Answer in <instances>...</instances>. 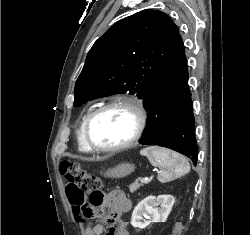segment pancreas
I'll list each match as a JSON object with an SVG mask.
<instances>
[{
	"instance_id": "cf45deb5",
	"label": "pancreas",
	"mask_w": 250,
	"mask_h": 235,
	"mask_svg": "<svg viewBox=\"0 0 250 235\" xmlns=\"http://www.w3.org/2000/svg\"><path fill=\"white\" fill-rule=\"evenodd\" d=\"M141 186H142V184H140L138 182H134L133 184H131L129 186L130 192L133 193V192L137 191Z\"/></svg>"
}]
</instances>
